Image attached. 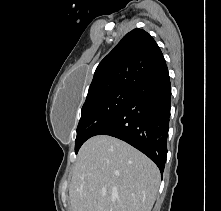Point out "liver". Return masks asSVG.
I'll return each mask as SVG.
<instances>
[{
    "instance_id": "obj_1",
    "label": "liver",
    "mask_w": 221,
    "mask_h": 211,
    "mask_svg": "<svg viewBox=\"0 0 221 211\" xmlns=\"http://www.w3.org/2000/svg\"><path fill=\"white\" fill-rule=\"evenodd\" d=\"M160 171L117 138L99 135L79 150L69 188L72 211H151Z\"/></svg>"
}]
</instances>
